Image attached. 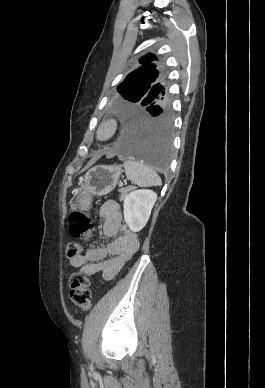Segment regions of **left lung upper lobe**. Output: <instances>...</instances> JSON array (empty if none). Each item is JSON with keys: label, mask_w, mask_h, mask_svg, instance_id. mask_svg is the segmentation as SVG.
Segmentation results:
<instances>
[{"label": "left lung upper lobe", "mask_w": 265, "mask_h": 388, "mask_svg": "<svg viewBox=\"0 0 265 388\" xmlns=\"http://www.w3.org/2000/svg\"><path fill=\"white\" fill-rule=\"evenodd\" d=\"M154 57L148 54L140 59L142 67L127 75L119 84L117 91L125 101L119 103L118 109H144L148 106L169 105V96L164 89L163 78L155 65Z\"/></svg>", "instance_id": "left-lung-upper-lobe-1"}]
</instances>
